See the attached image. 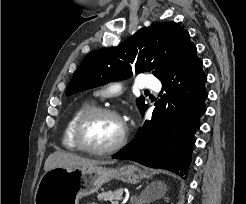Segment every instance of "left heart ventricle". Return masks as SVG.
I'll return each mask as SVG.
<instances>
[{
    "label": "left heart ventricle",
    "mask_w": 246,
    "mask_h": 204,
    "mask_svg": "<svg viewBox=\"0 0 246 204\" xmlns=\"http://www.w3.org/2000/svg\"><path fill=\"white\" fill-rule=\"evenodd\" d=\"M122 132L121 123L110 115H99L92 118L83 129L84 143L96 149L113 145Z\"/></svg>",
    "instance_id": "left-heart-ventricle-1"
}]
</instances>
